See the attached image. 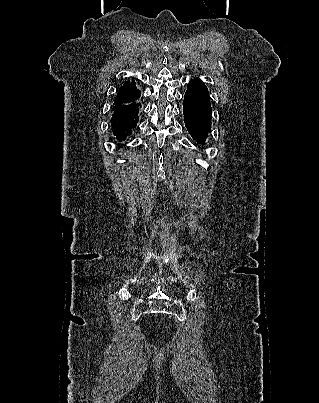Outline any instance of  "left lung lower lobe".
Instances as JSON below:
<instances>
[{"label": "left lung lower lobe", "mask_w": 319, "mask_h": 403, "mask_svg": "<svg viewBox=\"0 0 319 403\" xmlns=\"http://www.w3.org/2000/svg\"><path fill=\"white\" fill-rule=\"evenodd\" d=\"M185 126L193 139L204 144L211 129L212 108L206 85L199 78L191 79L184 96Z\"/></svg>", "instance_id": "1"}]
</instances>
